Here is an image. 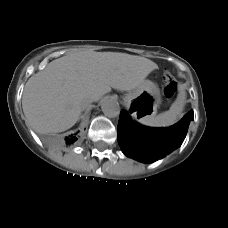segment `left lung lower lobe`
Listing matches in <instances>:
<instances>
[{
    "label": "left lung lower lobe",
    "mask_w": 228,
    "mask_h": 228,
    "mask_svg": "<svg viewBox=\"0 0 228 228\" xmlns=\"http://www.w3.org/2000/svg\"><path fill=\"white\" fill-rule=\"evenodd\" d=\"M193 119L191 110L171 127L148 128L133 122L122 110L117 130L118 143L126 156L145 163L154 162L181 146Z\"/></svg>",
    "instance_id": "0a47b994"
}]
</instances>
